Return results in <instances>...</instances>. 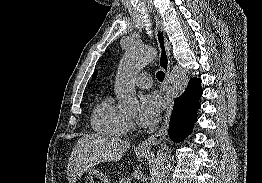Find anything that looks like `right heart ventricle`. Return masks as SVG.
Listing matches in <instances>:
<instances>
[{"label":"right heart ventricle","mask_w":262,"mask_h":183,"mask_svg":"<svg viewBox=\"0 0 262 183\" xmlns=\"http://www.w3.org/2000/svg\"><path fill=\"white\" fill-rule=\"evenodd\" d=\"M93 129L104 136L121 138L129 131V120L113 103L111 97L103 98L91 114Z\"/></svg>","instance_id":"obj_1"}]
</instances>
